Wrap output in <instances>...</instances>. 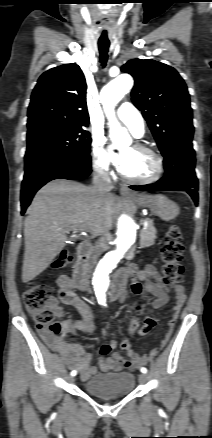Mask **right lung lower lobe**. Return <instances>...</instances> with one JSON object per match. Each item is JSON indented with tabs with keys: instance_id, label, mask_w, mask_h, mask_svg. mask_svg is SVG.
I'll use <instances>...</instances> for the list:
<instances>
[{
	"instance_id": "1",
	"label": "right lung lower lobe",
	"mask_w": 212,
	"mask_h": 438,
	"mask_svg": "<svg viewBox=\"0 0 212 438\" xmlns=\"http://www.w3.org/2000/svg\"><path fill=\"white\" fill-rule=\"evenodd\" d=\"M91 158L84 154L29 152L25 155V174L21 187V214L34 194L54 179H80L91 173Z\"/></svg>"
}]
</instances>
